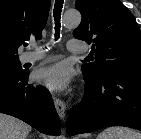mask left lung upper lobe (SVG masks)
Wrapping results in <instances>:
<instances>
[{
  "instance_id": "5c2ea615",
  "label": "left lung upper lobe",
  "mask_w": 141,
  "mask_h": 139,
  "mask_svg": "<svg viewBox=\"0 0 141 139\" xmlns=\"http://www.w3.org/2000/svg\"><path fill=\"white\" fill-rule=\"evenodd\" d=\"M82 14L76 39L92 45L95 62L82 72L100 76L108 70L141 73V32L133 14L120 0H77Z\"/></svg>"
}]
</instances>
